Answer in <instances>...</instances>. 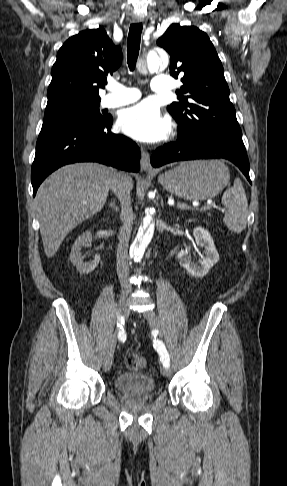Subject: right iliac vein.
Wrapping results in <instances>:
<instances>
[{
	"instance_id": "obj_1",
	"label": "right iliac vein",
	"mask_w": 287,
	"mask_h": 486,
	"mask_svg": "<svg viewBox=\"0 0 287 486\" xmlns=\"http://www.w3.org/2000/svg\"><path fill=\"white\" fill-rule=\"evenodd\" d=\"M119 308H120L121 318L126 319L129 314L128 299L126 293H123L120 297ZM115 344H116V336L113 337L103 360V368L105 371H109L112 366Z\"/></svg>"
}]
</instances>
